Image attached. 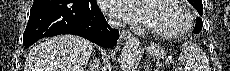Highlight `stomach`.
<instances>
[{
	"label": "stomach",
	"instance_id": "1",
	"mask_svg": "<svg viewBox=\"0 0 230 71\" xmlns=\"http://www.w3.org/2000/svg\"><path fill=\"white\" fill-rule=\"evenodd\" d=\"M147 55L149 58L159 60L161 58H164L166 53L162 48H160V46H157L156 44H154L147 48Z\"/></svg>",
	"mask_w": 230,
	"mask_h": 71
}]
</instances>
